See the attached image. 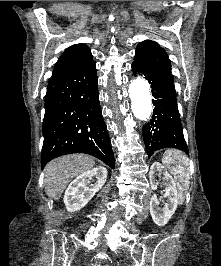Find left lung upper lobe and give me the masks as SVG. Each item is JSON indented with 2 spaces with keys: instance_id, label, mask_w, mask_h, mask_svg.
Listing matches in <instances>:
<instances>
[{
  "instance_id": "1",
  "label": "left lung upper lobe",
  "mask_w": 221,
  "mask_h": 266,
  "mask_svg": "<svg viewBox=\"0 0 221 266\" xmlns=\"http://www.w3.org/2000/svg\"><path fill=\"white\" fill-rule=\"evenodd\" d=\"M134 61L148 69L171 73V63L167 53L154 41L140 42L136 47Z\"/></svg>"
}]
</instances>
